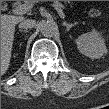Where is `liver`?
<instances>
[{
    "label": "liver",
    "mask_w": 109,
    "mask_h": 109,
    "mask_svg": "<svg viewBox=\"0 0 109 109\" xmlns=\"http://www.w3.org/2000/svg\"><path fill=\"white\" fill-rule=\"evenodd\" d=\"M22 16H1V73L4 74L10 65L15 26Z\"/></svg>",
    "instance_id": "1"
}]
</instances>
